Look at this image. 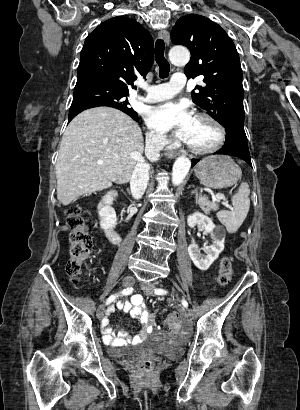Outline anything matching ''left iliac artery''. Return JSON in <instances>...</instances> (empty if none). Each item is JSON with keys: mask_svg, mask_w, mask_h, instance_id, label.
I'll return each mask as SVG.
<instances>
[{"mask_svg": "<svg viewBox=\"0 0 300 410\" xmlns=\"http://www.w3.org/2000/svg\"><path fill=\"white\" fill-rule=\"evenodd\" d=\"M155 294L157 295H165L167 294V291L165 289L159 288V289H155L154 290ZM182 305L187 308L188 307V303L185 299L182 300Z\"/></svg>", "mask_w": 300, "mask_h": 410, "instance_id": "1", "label": "left iliac artery"}]
</instances>
